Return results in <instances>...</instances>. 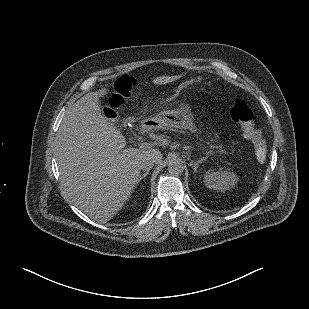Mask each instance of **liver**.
I'll list each match as a JSON object with an SVG mask.
<instances>
[{"instance_id":"obj_1","label":"liver","mask_w":309,"mask_h":309,"mask_svg":"<svg viewBox=\"0 0 309 309\" xmlns=\"http://www.w3.org/2000/svg\"><path fill=\"white\" fill-rule=\"evenodd\" d=\"M106 93L105 88L87 93L66 110L56 145L60 179L68 197L100 222L112 219L129 199L143 161H162L157 149H124L125 137L101 112L100 97Z\"/></svg>"}]
</instances>
